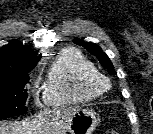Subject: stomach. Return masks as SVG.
<instances>
[{
  "mask_svg": "<svg viewBox=\"0 0 153 134\" xmlns=\"http://www.w3.org/2000/svg\"><path fill=\"white\" fill-rule=\"evenodd\" d=\"M98 123L97 114L90 109L77 110L72 116L69 134H92Z\"/></svg>",
  "mask_w": 153,
  "mask_h": 134,
  "instance_id": "0dacf381",
  "label": "stomach"
}]
</instances>
